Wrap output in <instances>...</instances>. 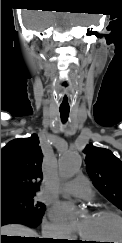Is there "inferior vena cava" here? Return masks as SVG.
Instances as JSON below:
<instances>
[{
    "mask_svg": "<svg viewBox=\"0 0 122 243\" xmlns=\"http://www.w3.org/2000/svg\"><path fill=\"white\" fill-rule=\"evenodd\" d=\"M55 237V234L52 230H50L48 227L42 228V238H52Z\"/></svg>",
    "mask_w": 122,
    "mask_h": 243,
    "instance_id": "inferior-vena-cava-1",
    "label": "inferior vena cava"
}]
</instances>
